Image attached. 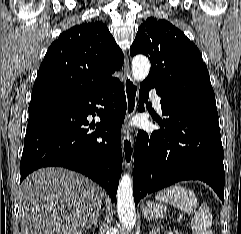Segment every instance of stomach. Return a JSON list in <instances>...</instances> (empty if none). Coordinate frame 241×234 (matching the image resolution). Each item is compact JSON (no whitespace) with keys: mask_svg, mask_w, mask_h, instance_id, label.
<instances>
[{"mask_svg":"<svg viewBox=\"0 0 241 234\" xmlns=\"http://www.w3.org/2000/svg\"><path fill=\"white\" fill-rule=\"evenodd\" d=\"M141 209L144 216L149 219H159L166 215V208L160 203L147 202Z\"/></svg>","mask_w":241,"mask_h":234,"instance_id":"stomach-1","label":"stomach"}]
</instances>
